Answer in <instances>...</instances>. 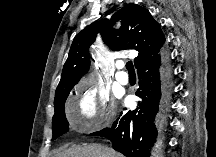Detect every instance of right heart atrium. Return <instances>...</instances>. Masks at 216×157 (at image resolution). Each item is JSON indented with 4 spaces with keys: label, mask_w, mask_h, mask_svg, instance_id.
<instances>
[{
    "label": "right heart atrium",
    "mask_w": 216,
    "mask_h": 157,
    "mask_svg": "<svg viewBox=\"0 0 216 157\" xmlns=\"http://www.w3.org/2000/svg\"><path fill=\"white\" fill-rule=\"evenodd\" d=\"M77 92V111L71 118L76 130L88 133L107 125L115 118V105L95 84L82 82Z\"/></svg>",
    "instance_id": "d8ad5b80"
}]
</instances>
